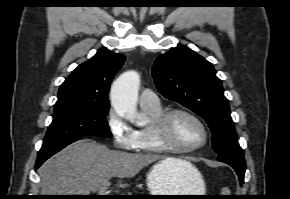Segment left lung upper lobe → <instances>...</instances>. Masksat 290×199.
<instances>
[{"mask_svg":"<svg viewBox=\"0 0 290 199\" xmlns=\"http://www.w3.org/2000/svg\"><path fill=\"white\" fill-rule=\"evenodd\" d=\"M153 77L160 93L201 116L212 131L218 156L244 155L235 137L227 98L212 64L185 46L159 56Z\"/></svg>","mask_w":290,"mask_h":199,"instance_id":"5c2ea615","label":"left lung upper lobe"}]
</instances>
